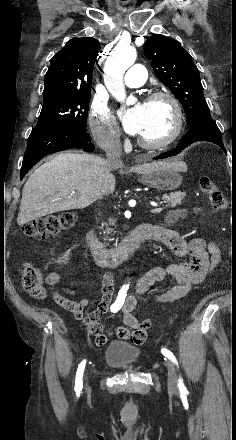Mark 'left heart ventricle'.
<instances>
[{
    "instance_id": "left-heart-ventricle-1",
    "label": "left heart ventricle",
    "mask_w": 236,
    "mask_h": 440,
    "mask_svg": "<svg viewBox=\"0 0 236 440\" xmlns=\"http://www.w3.org/2000/svg\"><path fill=\"white\" fill-rule=\"evenodd\" d=\"M146 120L139 133V137L157 142L165 139L173 127V112L169 103L164 100H156L145 103Z\"/></svg>"
}]
</instances>
